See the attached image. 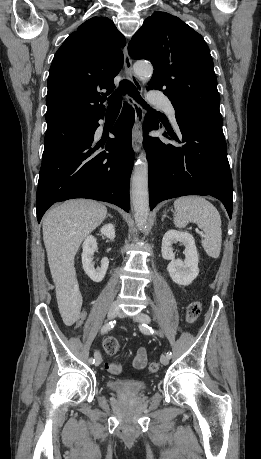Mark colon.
I'll return each instance as SVG.
<instances>
[{"label": "colon", "mask_w": 261, "mask_h": 459, "mask_svg": "<svg viewBox=\"0 0 261 459\" xmlns=\"http://www.w3.org/2000/svg\"><path fill=\"white\" fill-rule=\"evenodd\" d=\"M201 308H202V304L200 301H192L188 304L187 308H186V320L188 323H194L196 322V320L198 319L200 313H201ZM103 348L105 350L106 353L110 354V355H113V354H116L118 351H119V343L117 341V339L113 338V337H109L107 339H105L104 343H103ZM106 369L110 372V373H113V374H119L122 370V367L120 365V363L116 362V361H111L109 363H107L106 365ZM149 371L151 373H156L159 371L160 369V365L158 362H152L149 364V367H148Z\"/></svg>", "instance_id": "obj_1"}]
</instances>
